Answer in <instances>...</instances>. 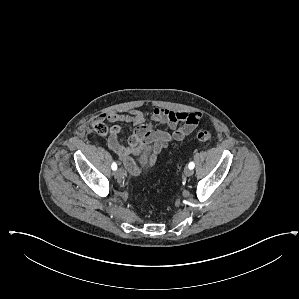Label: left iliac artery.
I'll use <instances>...</instances> for the list:
<instances>
[{"instance_id": "44dca946", "label": "left iliac artery", "mask_w": 299, "mask_h": 299, "mask_svg": "<svg viewBox=\"0 0 299 299\" xmlns=\"http://www.w3.org/2000/svg\"><path fill=\"white\" fill-rule=\"evenodd\" d=\"M188 167H189L190 169H193V168L195 167L194 162H190L189 165H188Z\"/></svg>"}]
</instances>
